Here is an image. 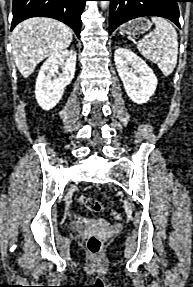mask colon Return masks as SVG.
I'll return each instance as SVG.
<instances>
[{
    "label": "colon",
    "mask_w": 193,
    "mask_h": 287,
    "mask_svg": "<svg viewBox=\"0 0 193 287\" xmlns=\"http://www.w3.org/2000/svg\"><path fill=\"white\" fill-rule=\"evenodd\" d=\"M78 201L81 205L85 206L88 210L92 212L102 211V206L100 202L95 198L80 196ZM111 215L116 220H120L122 218L121 214L115 210L111 212ZM102 244L103 242L101 238L96 235H90L86 240V245L88 249L94 254L98 253L101 250Z\"/></svg>",
    "instance_id": "colon-1"
}]
</instances>
